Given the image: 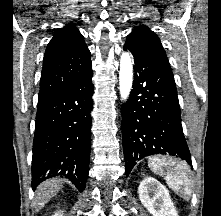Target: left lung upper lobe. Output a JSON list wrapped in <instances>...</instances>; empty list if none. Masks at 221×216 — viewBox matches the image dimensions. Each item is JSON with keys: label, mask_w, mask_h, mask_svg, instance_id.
Wrapping results in <instances>:
<instances>
[{"label": "left lung upper lobe", "mask_w": 221, "mask_h": 216, "mask_svg": "<svg viewBox=\"0 0 221 216\" xmlns=\"http://www.w3.org/2000/svg\"><path fill=\"white\" fill-rule=\"evenodd\" d=\"M126 44L135 46L136 49L168 63L160 39L144 25L134 27L133 31L127 36Z\"/></svg>", "instance_id": "obj_1"}]
</instances>
